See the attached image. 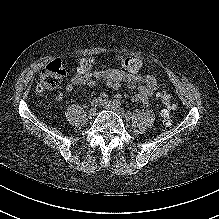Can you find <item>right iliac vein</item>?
I'll return each mask as SVG.
<instances>
[{
    "label": "right iliac vein",
    "instance_id": "1",
    "mask_svg": "<svg viewBox=\"0 0 219 219\" xmlns=\"http://www.w3.org/2000/svg\"><path fill=\"white\" fill-rule=\"evenodd\" d=\"M97 114V109L96 108H91L89 110V116L92 118V117H95Z\"/></svg>",
    "mask_w": 219,
    "mask_h": 219
}]
</instances>
